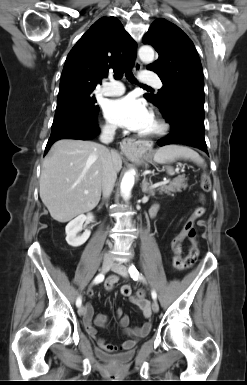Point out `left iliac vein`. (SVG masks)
<instances>
[{
	"label": "left iliac vein",
	"mask_w": 247,
	"mask_h": 385,
	"mask_svg": "<svg viewBox=\"0 0 247 385\" xmlns=\"http://www.w3.org/2000/svg\"><path fill=\"white\" fill-rule=\"evenodd\" d=\"M112 270L116 273H118L119 275L123 276V277H128V269L127 267L122 264V263H114L112 265ZM152 310L154 312H158L159 311V305L157 303L156 300H154L152 302Z\"/></svg>",
	"instance_id": "4c4485c4"
}]
</instances>
